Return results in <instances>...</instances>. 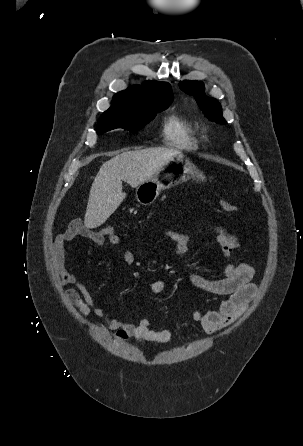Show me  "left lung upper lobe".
Returning a JSON list of instances; mask_svg holds the SVG:
<instances>
[{
	"label": "left lung upper lobe",
	"mask_w": 303,
	"mask_h": 446,
	"mask_svg": "<svg viewBox=\"0 0 303 446\" xmlns=\"http://www.w3.org/2000/svg\"><path fill=\"white\" fill-rule=\"evenodd\" d=\"M179 86L182 91L189 95L195 96V99L203 111L204 115L211 121L218 124H226V120L222 116L221 106L219 102L206 96L205 87L202 81H181Z\"/></svg>",
	"instance_id": "1"
}]
</instances>
